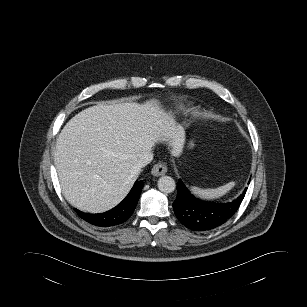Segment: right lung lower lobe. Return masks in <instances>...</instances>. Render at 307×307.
<instances>
[{"mask_svg":"<svg viewBox=\"0 0 307 307\" xmlns=\"http://www.w3.org/2000/svg\"><path fill=\"white\" fill-rule=\"evenodd\" d=\"M143 181H136L127 197L115 208L101 214H88L74 209L78 216L86 222L97 227H111L125 222L133 213L141 190Z\"/></svg>","mask_w":307,"mask_h":307,"instance_id":"1","label":"right lung lower lobe"}]
</instances>
